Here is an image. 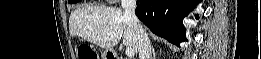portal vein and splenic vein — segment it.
<instances>
[{
	"instance_id": "1",
	"label": "portal vein and splenic vein",
	"mask_w": 261,
	"mask_h": 59,
	"mask_svg": "<svg viewBox=\"0 0 261 59\" xmlns=\"http://www.w3.org/2000/svg\"><path fill=\"white\" fill-rule=\"evenodd\" d=\"M134 54H135V51H134L133 48H131V47L126 48V55H127L128 57H133Z\"/></svg>"
}]
</instances>
